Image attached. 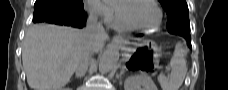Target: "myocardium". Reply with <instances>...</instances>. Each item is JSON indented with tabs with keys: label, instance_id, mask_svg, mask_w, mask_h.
Here are the masks:
<instances>
[{
	"label": "myocardium",
	"instance_id": "f54148a6",
	"mask_svg": "<svg viewBox=\"0 0 228 90\" xmlns=\"http://www.w3.org/2000/svg\"><path fill=\"white\" fill-rule=\"evenodd\" d=\"M136 1H139V0H123L118 5V7H117V15H118V18H119L120 22L123 24V26L126 29H129V30L141 31V32H146V33H151V32L158 31L161 28L162 24H163V12H162V9L160 8L159 4L155 0H147V1L151 2L155 6L157 11H158L159 19H158V23H157V25L155 27H153V28L139 27V26L133 25L132 23H130L126 19L125 15H124V8L128 4L136 2Z\"/></svg>",
	"mask_w": 228,
	"mask_h": 90
}]
</instances>
